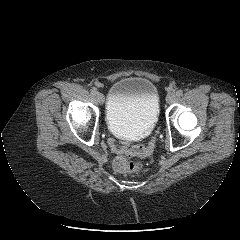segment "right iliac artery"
I'll use <instances>...</instances> for the list:
<instances>
[{
    "mask_svg": "<svg viewBox=\"0 0 240 240\" xmlns=\"http://www.w3.org/2000/svg\"><path fill=\"white\" fill-rule=\"evenodd\" d=\"M91 93H92L93 95H96V94H97V90H96L95 88H92V89H91Z\"/></svg>",
    "mask_w": 240,
    "mask_h": 240,
    "instance_id": "obj_1",
    "label": "right iliac artery"
}]
</instances>
